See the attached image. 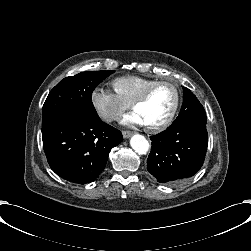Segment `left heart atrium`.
<instances>
[{
    "instance_id": "obj_1",
    "label": "left heart atrium",
    "mask_w": 251,
    "mask_h": 251,
    "mask_svg": "<svg viewBox=\"0 0 251 251\" xmlns=\"http://www.w3.org/2000/svg\"><path fill=\"white\" fill-rule=\"evenodd\" d=\"M121 124L123 125H145V121L141 113L137 110L124 115L121 120Z\"/></svg>"
}]
</instances>
